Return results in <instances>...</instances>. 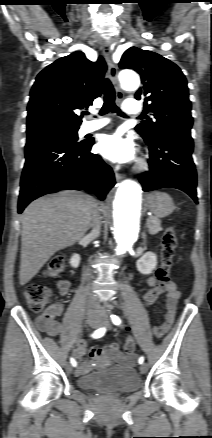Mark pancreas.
<instances>
[{
	"instance_id": "cf45deb5",
	"label": "pancreas",
	"mask_w": 212,
	"mask_h": 438,
	"mask_svg": "<svg viewBox=\"0 0 212 438\" xmlns=\"http://www.w3.org/2000/svg\"><path fill=\"white\" fill-rule=\"evenodd\" d=\"M147 227L148 232L151 235L157 234L159 231L162 230L161 221L156 217H149L147 219Z\"/></svg>"
}]
</instances>
